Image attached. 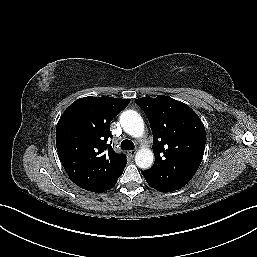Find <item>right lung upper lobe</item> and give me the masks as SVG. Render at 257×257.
<instances>
[{
    "instance_id": "1",
    "label": "right lung upper lobe",
    "mask_w": 257,
    "mask_h": 257,
    "mask_svg": "<svg viewBox=\"0 0 257 257\" xmlns=\"http://www.w3.org/2000/svg\"><path fill=\"white\" fill-rule=\"evenodd\" d=\"M130 99L84 97L74 101L56 127L59 158L77 186L95 191L111 184L122 173L127 160L107 144L110 122Z\"/></svg>"
}]
</instances>
